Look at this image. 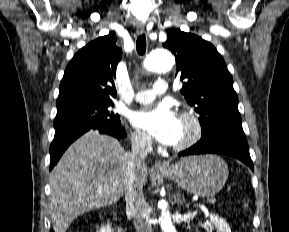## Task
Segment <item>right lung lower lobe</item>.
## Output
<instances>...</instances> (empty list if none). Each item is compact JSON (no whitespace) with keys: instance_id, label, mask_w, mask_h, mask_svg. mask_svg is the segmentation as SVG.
Returning <instances> with one entry per match:
<instances>
[{"instance_id":"obj_1","label":"right lung lower lobe","mask_w":289,"mask_h":232,"mask_svg":"<svg viewBox=\"0 0 289 232\" xmlns=\"http://www.w3.org/2000/svg\"><path fill=\"white\" fill-rule=\"evenodd\" d=\"M89 130L99 131L102 134H108L116 137L118 140L124 139L126 136L125 130L119 126H109L101 128H90V127H75L64 129L55 132L54 140L50 146V168L51 170L58 162L67 147L78 137Z\"/></svg>"}]
</instances>
